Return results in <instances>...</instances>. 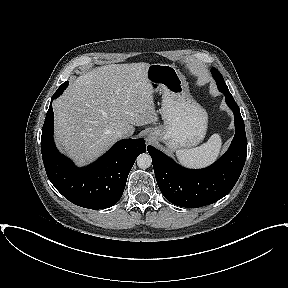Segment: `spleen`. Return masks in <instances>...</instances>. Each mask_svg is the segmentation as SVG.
<instances>
[{
    "mask_svg": "<svg viewBox=\"0 0 288 288\" xmlns=\"http://www.w3.org/2000/svg\"><path fill=\"white\" fill-rule=\"evenodd\" d=\"M222 146L220 135L213 134L203 145L192 149L176 151L179 162L189 168H202L212 164L218 157Z\"/></svg>",
    "mask_w": 288,
    "mask_h": 288,
    "instance_id": "obj_1",
    "label": "spleen"
}]
</instances>
